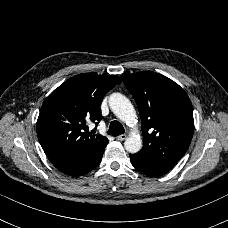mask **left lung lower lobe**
I'll return each mask as SVG.
<instances>
[{
  "instance_id": "left-lung-lower-lobe-1",
  "label": "left lung lower lobe",
  "mask_w": 228,
  "mask_h": 228,
  "mask_svg": "<svg viewBox=\"0 0 228 228\" xmlns=\"http://www.w3.org/2000/svg\"><path fill=\"white\" fill-rule=\"evenodd\" d=\"M132 165L139 172L147 176H161L172 169L174 165L155 164L139 158L136 154H130Z\"/></svg>"
}]
</instances>
